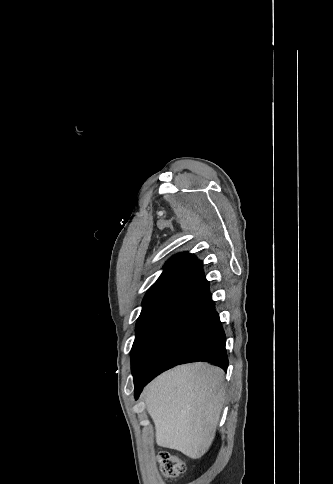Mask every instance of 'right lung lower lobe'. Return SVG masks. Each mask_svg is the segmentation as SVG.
Masks as SVG:
<instances>
[{"instance_id":"right-lung-lower-lobe-1","label":"right lung lower lobe","mask_w":333,"mask_h":484,"mask_svg":"<svg viewBox=\"0 0 333 484\" xmlns=\"http://www.w3.org/2000/svg\"><path fill=\"white\" fill-rule=\"evenodd\" d=\"M208 288L201 276L157 304L133 371L136 399L155 376L178 364L205 361L227 370L226 337Z\"/></svg>"}]
</instances>
